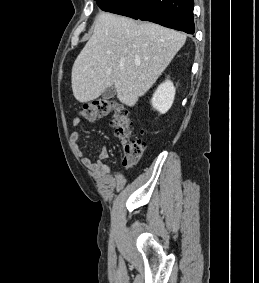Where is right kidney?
Listing matches in <instances>:
<instances>
[{"label":"right kidney","instance_id":"right-kidney-1","mask_svg":"<svg viewBox=\"0 0 259 283\" xmlns=\"http://www.w3.org/2000/svg\"><path fill=\"white\" fill-rule=\"evenodd\" d=\"M175 97V87L170 80L161 83L151 99L152 106L159 113H166L172 106Z\"/></svg>","mask_w":259,"mask_h":283}]
</instances>
